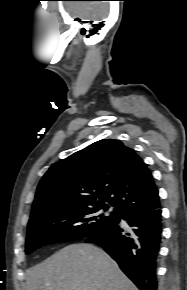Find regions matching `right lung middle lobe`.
<instances>
[{"label": "right lung middle lobe", "mask_w": 187, "mask_h": 290, "mask_svg": "<svg viewBox=\"0 0 187 290\" xmlns=\"http://www.w3.org/2000/svg\"><path fill=\"white\" fill-rule=\"evenodd\" d=\"M100 209L106 211L108 205L54 212L36 220L27 228L26 254L45 245L87 238L119 220L121 213L117 210L105 216L98 213Z\"/></svg>", "instance_id": "right-lung-middle-lobe-1"}]
</instances>
